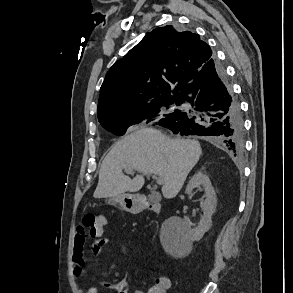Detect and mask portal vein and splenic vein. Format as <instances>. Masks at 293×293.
Segmentation results:
<instances>
[{"mask_svg":"<svg viewBox=\"0 0 293 293\" xmlns=\"http://www.w3.org/2000/svg\"><path fill=\"white\" fill-rule=\"evenodd\" d=\"M132 170H129V172H131ZM152 178L156 180V183L161 185L163 184V178L161 176H157V175H152Z\"/></svg>","mask_w":293,"mask_h":293,"instance_id":"1","label":"portal vein and splenic vein"}]
</instances>
